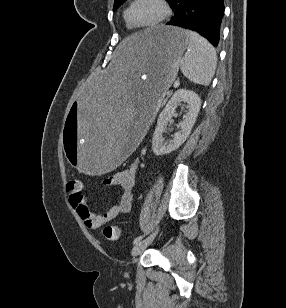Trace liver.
Instances as JSON below:
<instances>
[{"instance_id":"obj_1","label":"liver","mask_w":286,"mask_h":308,"mask_svg":"<svg viewBox=\"0 0 286 308\" xmlns=\"http://www.w3.org/2000/svg\"><path fill=\"white\" fill-rule=\"evenodd\" d=\"M144 37V33L140 32L138 34L132 35L124 39L117 47L114 53L113 63H118L120 61H125L133 57L135 51L138 49V45Z\"/></svg>"}]
</instances>
